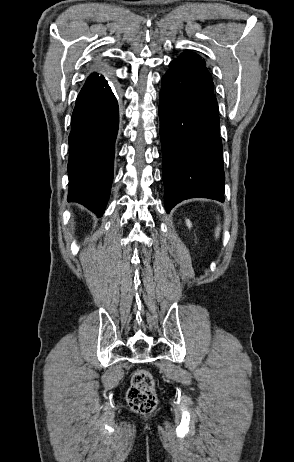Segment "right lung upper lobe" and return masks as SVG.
Here are the masks:
<instances>
[{
  "label": "right lung upper lobe",
  "mask_w": 294,
  "mask_h": 462,
  "mask_svg": "<svg viewBox=\"0 0 294 462\" xmlns=\"http://www.w3.org/2000/svg\"><path fill=\"white\" fill-rule=\"evenodd\" d=\"M100 78H104V76L101 73L93 72V73H91L89 75L87 80H96V79H100Z\"/></svg>",
  "instance_id": "1"
}]
</instances>
